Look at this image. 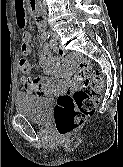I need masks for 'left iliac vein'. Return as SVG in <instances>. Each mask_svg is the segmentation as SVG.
<instances>
[{
    "instance_id": "obj_1",
    "label": "left iliac vein",
    "mask_w": 123,
    "mask_h": 167,
    "mask_svg": "<svg viewBox=\"0 0 123 167\" xmlns=\"http://www.w3.org/2000/svg\"><path fill=\"white\" fill-rule=\"evenodd\" d=\"M51 36H52V42L54 45H56L59 41V35L55 31H51Z\"/></svg>"
}]
</instances>
